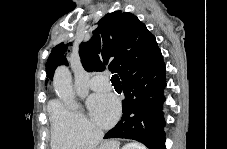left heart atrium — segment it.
Returning <instances> with one entry per match:
<instances>
[{
	"label": "left heart atrium",
	"mask_w": 227,
	"mask_h": 149,
	"mask_svg": "<svg viewBox=\"0 0 227 149\" xmlns=\"http://www.w3.org/2000/svg\"><path fill=\"white\" fill-rule=\"evenodd\" d=\"M88 107L93 120L103 128L115 123L120 114L119 102L110 94L91 96Z\"/></svg>",
	"instance_id": "39dd6f15"
}]
</instances>
